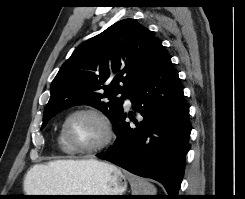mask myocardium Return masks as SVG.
<instances>
[{"mask_svg": "<svg viewBox=\"0 0 245 199\" xmlns=\"http://www.w3.org/2000/svg\"><path fill=\"white\" fill-rule=\"evenodd\" d=\"M88 114L94 116L103 126L104 128V138L103 140L96 146L90 148H81L74 144L71 140L68 133V125L71 119L77 115ZM63 137L67 143V145L71 148V150L76 154L81 155H93L98 154L105 150L112 143L114 139V130L110 119L107 117L105 113L101 110L93 108V107H83L78 108L71 111L65 118L62 128H61Z\"/></svg>", "mask_w": 245, "mask_h": 199, "instance_id": "myocardium-1", "label": "myocardium"}]
</instances>
